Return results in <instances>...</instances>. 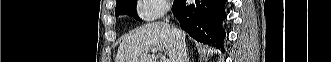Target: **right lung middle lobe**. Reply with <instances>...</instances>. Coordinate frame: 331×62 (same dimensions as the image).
Wrapping results in <instances>:
<instances>
[{
    "mask_svg": "<svg viewBox=\"0 0 331 62\" xmlns=\"http://www.w3.org/2000/svg\"><path fill=\"white\" fill-rule=\"evenodd\" d=\"M175 3V0H174ZM173 3V4H174ZM137 2L135 0H119L116 3L115 15H129L131 17L137 18L134 8Z\"/></svg>",
    "mask_w": 331,
    "mask_h": 62,
    "instance_id": "right-lung-middle-lobe-1",
    "label": "right lung middle lobe"
}]
</instances>
